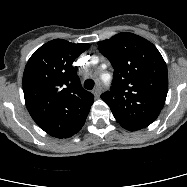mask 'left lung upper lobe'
Returning <instances> with one entry per match:
<instances>
[{
    "instance_id": "5c2ea615",
    "label": "left lung upper lobe",
    "mask_w": 187,
    "mask_h": 187,
    "mask_svg": "<svg viewBox=\"0 0 187 187\" xmlns=\"http://www.w3.org/2000/svg\"><path fill=\"white\" fill-rule=\"evenodd\" d=\"M100 52L114 68L110 91L101 95L116 121L136 131L156 120L166 100L168 73L158 49L128 32L98 42Z\"/></svg>"
}]
</instances>
